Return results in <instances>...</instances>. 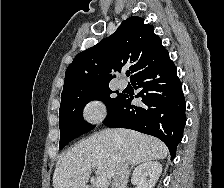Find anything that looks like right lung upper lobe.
Listing matches in <instances>:
<instances>
[{
    "mask_svg": "<svg viewBox=\"0 0 224 188\" xmlns=\"http://www.w3.org/2000/svg\"><path fill=\"white\" fill-rule=\"evenodd\" d=\"M168 51L154 34L152 25L132 16L117 30L97 45L80 52L65 73L63 92L108 85L112 70L121 72L125 66L131 70V79L158 63Z\"/></svg>",
    "mask_w": 224,
    "mask_h": 188,
    "instance_id": "obj_1",
    "label": "right lung upper lobe"
}]
</instances>
